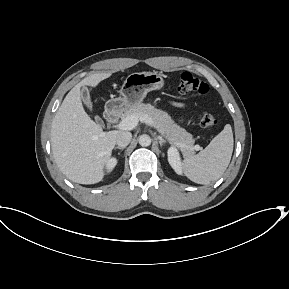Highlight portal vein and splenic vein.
<instances>
[{"label":"portal vein and splenic vein","mask_w":289,"mask_h":289,"mask_svg":"<svg viewBox=\"0 0 289 289\" xmlns=\"http://www.w3.org/2000/svg\"><path fill=\"white\" fill-rule=\"evenodd\" d=\"M139 120L141 122L146 123L149 126L156 128L155 123L153 122V120L150 117L142 116V117L138 118L135 115H131V116H127V117L123 118L122 121L118 125H116V127L120 130H132L137 126ZM192 149L198 151V150H201V147L199 145H195L192 147Z\"/></svg>","instance_id":"18ae733b"}]
</instances>
